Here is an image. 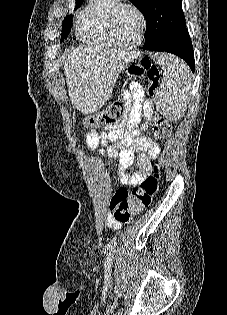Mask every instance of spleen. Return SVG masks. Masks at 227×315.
Instances as JSON below:
<instances>
[{
    "instance_id": "spleen-1",
    "label": "spleen",
    "mask_w": 227,
    "mask_h": 315,
    "mask_svg": "<svg viewBox=\"0 0 227 315\" xmlns=\"http://www.w3.org/2000/svg\"><path fill=\"white\" fill-rule=\"evenodd\" d=\"M154 60L164 70L161 88L155 96L156 108L169 119H180L191 89L190 72L183 62L168 54L156 53Z\"/></svg>"
}]
</instances>
